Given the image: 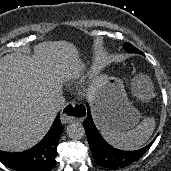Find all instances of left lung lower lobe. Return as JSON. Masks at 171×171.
<instances>
[{
  "label": "left lung lower lobe",
  "instance_id": "left-lung-lower-lobe-1",
  "mask_svg": "<svg viewBox=\"0 0 171 171\" xmlns=\"http://www.w3.org/2000/svg\"><path fill=\"white\" fill-rule=\"evenodd\" d=\"M87 118L83 125L87 134L90 149L95 161L102 167L116 170L132 164L147 152L154 140L147 146L136 151H121L110 146L99 134L95 127L89 106L87 104Z\"/></svg>",
  "mask_w": 171,
  "mask_h": 171
}]
</instances>
